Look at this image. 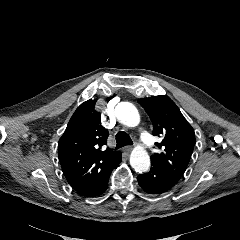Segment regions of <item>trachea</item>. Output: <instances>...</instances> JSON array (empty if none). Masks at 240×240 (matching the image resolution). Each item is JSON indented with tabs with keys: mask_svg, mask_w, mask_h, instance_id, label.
Instances as JSON below:
<instances>
[{
	"mask_svg": "<svg viewBox=\"0 0 240 240\" xmlns=\"http://www.w3.org/2000/svg\"><path fill=\"white\" fill-rule=\"evenodd\" d=\"M115 137H116V142H117L116 149H119V148L124 147L126 145H132L133 144L129 135L127 133L123 132V131H119L116 134Z\"/></svg>",
	"mask_w": 240,
	"mask_h": 240,
	"instance_id": "trachea-1",
	"label": "trachea"
}]
</instances>
